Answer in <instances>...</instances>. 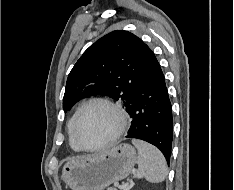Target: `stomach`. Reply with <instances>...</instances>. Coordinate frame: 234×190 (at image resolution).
I'll use <instances>...</instances> for the list:
<instances>
[{
    "label": "stomach",
    "mask_w": 234,
    "mask_h": 190,
    "mask_svg": "<svg viewBox=\"0 0 234 190\" xmlns=\"http://www.w3.org/2000/svg\"><path fill=\"white\" fill-rule=\"evenodd\" d=\"M136 162L134 147L118 144L96 155L71 159L62 169V178L72 190H104L126 178Z\"/></svg>",
    "instance_id": "1"
}]
</instances>
